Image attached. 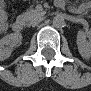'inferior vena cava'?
I'll return each mask as SVG.
<instances>
[{
  "mask_svg": "<svg viewBox=\"0 0 91 91\" xmlns=\"http://www.w3.org/2000/svg\"><path fill=\"white\" fill-rule=\"evenodd\" d=\"M43 20V18L41 17H37L35 18L29 25L30 26H36L39 22H41Z\"/></svg>",
  "mask_w": 91,
  "mask_h": 91,
  "instance_id": "inferior-vena-cava-1",
  "label": "inferior vena cava"
}]
</instances>
